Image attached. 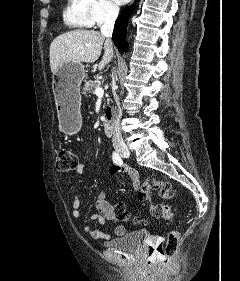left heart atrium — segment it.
<instances>
[{"instance_id": "1", "label": "left heart atrium", "mask_w": 240, "mask_h": 281, "mask_svg": "<svg viewBox=\"0 0 240 281\" xmlns=\"http://www.w3.org/2000/svg\"><path fill=\"white\" fill-rule=\"evenodd\" d=\"M128 1H130V0H116V2L119 4H124V3H127Z\"/></svg>"}]
</instances>
